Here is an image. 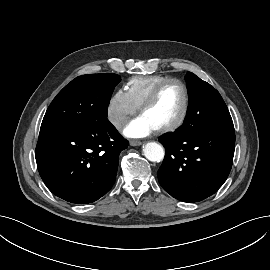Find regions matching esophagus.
Masks as SVG:
<instances>
[{"label": "esophagus", "mask_w": 270, "mask_h": 270, "mask_svg": "<svg viewBox=\"0 0 270 270\" xmlns=\"http://www.w3.org/2000/svg\"><path fill=\"white\" fill-rule=\"evenodd\" d=\"M142 144L141 141H138V140H132L130 141V145L131 146H140Z\"/></svg>", "instance_id": "34e87169"}]
</instances>
